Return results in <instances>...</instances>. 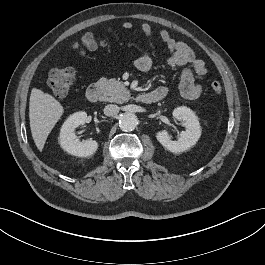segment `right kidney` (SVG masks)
Wrapping results in <instances>:
<instances>
[{"mask_svg": "<svg viewBox=\"0 0 265 265\" xmlns=\"http://www.w3.org/2000/svg\"><path fill=\"white\" fill-rule=\"evenodd\" d=\"M86 121V112L80 111L70 115L64 122L59 136V144L64 151L78 157L91 156L96 152L98 143L95 140L81 142L75 134V129Z\"/></svg>", "mask_w": 265, "mask_h": 265, "instance_id": "obj_1", "label": "right kidney"}]
</instances>
